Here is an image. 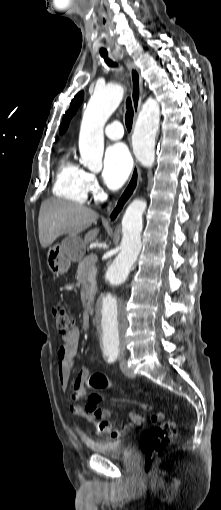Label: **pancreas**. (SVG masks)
I'll return each instance as SVG.
<instances>
[{
	"label": "pancreas",
	"mask_w": 221,
	"mask_h": 510,
	"mask_svg": "<svg viewBox=\"0 0 221 510\" xmlns=\"http://www.w3.org/2000/svg\"><path fill=\"white\" fill-rule=\"evenodd\" d=\"M93 254L82 258L78 264L77 272L80 274V278H85L87 283L84 284L86 288V294H89V285L93 283L95 277V263L96 261L91 260Z\"/></svg>",
	"instance_id": "obj_1"
}]
</instances>
